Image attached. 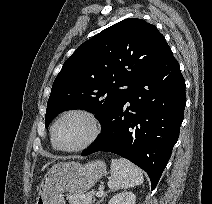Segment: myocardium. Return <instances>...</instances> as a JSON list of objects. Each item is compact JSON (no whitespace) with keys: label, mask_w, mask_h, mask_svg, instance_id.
Masks as SVG:
<instances>
[{"label":"myocardium","mask_w":212,"mask_h":204,"mask_svg":"<svg viewBox=\"0 0 212 204\" xmlns=\"http://www.w3.org/2000/svg\"><path fill=\"white\" fill-rule=\"evenodd\" d=\"M68 116H79L82 117L89 125V134L87 138L78 146L72 147V148H65L58 144L56 140L55 130L57 125L60 123L61 120ZM101 133V123L98 119V117L91 111L86 109H80V108H74L69 109L64 112H62L54 121L52 127H51V140L54 145V147L60 151L63 152H79L86 148H88L90 145H92L95 140L98 138V136Z\"/></svg>","instance_id":"f54148a6"}]
</instances>
